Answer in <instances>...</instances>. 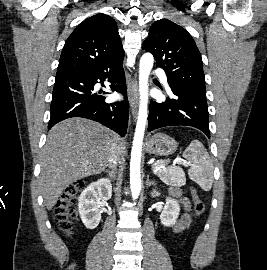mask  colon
Here are the masks:
<instances>
[{
	"label": "colon",
	"instance_id": "obj_1",
	"mask_svg": "<svg viewBox=\"0 0 267 270\" xmlns=\"http://www.w3.org/2000/svg\"><path fill=\"white\" fill-rule=\"evenodd\" d=\"M84 187V181L73 183L63 191L55 205V221L59 229L64 233L69 234L72 230V223L75 219V204L79 193ZM190 194L196 215H202L205 210L203 200L195 188L191 189Z\"/></svg>",
	"mask_w": 267,
	"mask_h": 270
}]
</instances>
